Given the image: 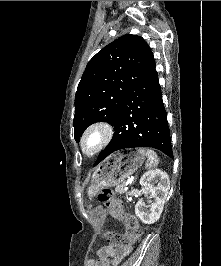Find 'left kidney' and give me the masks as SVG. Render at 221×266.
I'll use <instances>...</instances> for the list:
<instances>
[{
    "label": "left kidney",
    "instance_id": "1",
    "mask_svg": "<svg viewBox=\"0 0 221 266\" xmlns=\"http://www.w3.org/2000/svg\"><path fill=\"white\" fill-rule=\"evenodd\" d=\"M140 185L142 189L138 192L139 201L135 206V213L143 223L153 224L163 211L170 189V179L168 174L160 169L150 170L143 174ZM148 194L153 201H149V205H146L143 197Z\"/></svg>",
    "mask_w": 221,
    "mask_h": 266
}]
</instances>
